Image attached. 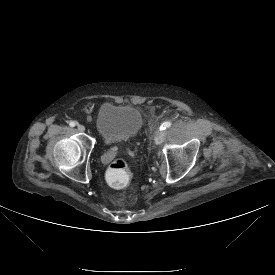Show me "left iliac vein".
<instances>
[{
	"label": "left iliac vein",
	"instance_id": "left-iliac-vein-1",
	"mask_svg": "<svg viewBox=\"0 0 275 275\" xmlns=\"http://www.w3.org/2000/svg\"><path fill=\"white\" fill-rule=\"evenodd\" d=\"M165 133L164 131L158 129L154 134V141L157 145L161 144L164 141Z\"/></svg>",
	"mask_w": 275,
	"mask_h": 275
}]
</instances>
